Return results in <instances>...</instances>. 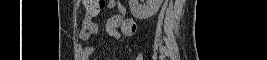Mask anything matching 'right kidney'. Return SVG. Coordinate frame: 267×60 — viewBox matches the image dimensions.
Segmentation results:
<instances>
[{
  "instance_id": "obj_1",
  "label": "right kidney",
  "mask_w": 267,
  "mask_h": 60,
  "mask_svg": "<svg viewBox=\"0 0 267 60\" xmlns=\"http://www.w3.org/2000/svg\"><path fill=\"white\" fill-rule=\"evenodd\" d=\"M163 0H129L130 11L132 15L139 20L147 19L152 17L159 10Z\"/></svg>"
}]
</instances>
